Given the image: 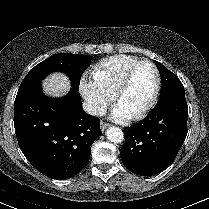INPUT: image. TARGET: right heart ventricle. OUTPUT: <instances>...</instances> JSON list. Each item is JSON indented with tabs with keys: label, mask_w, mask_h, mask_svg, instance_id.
Instances as JSON below:
<instances>
[{
	"label": "right heart ventricle",
	"mask_w": 209,
	"mask_h": 209,
	"mask_svg": "<svg viewBox=\"0 0 209 209\" xmlns=\"http://www.w3.org/2000/svg\"><path fill=\"white\" fill-rule=\"evenodd\" d=\"M139 60L132 55H115L100 61L92 71L93 78L108 91L115 93L128 68Z\"/></svg>",
	"instance_id": "obj_1"
}]
</instances>
